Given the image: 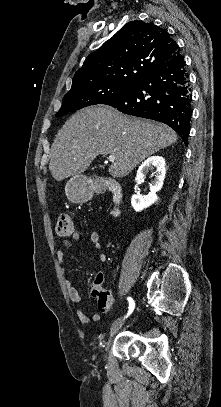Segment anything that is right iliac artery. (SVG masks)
<instances>
[{
	"instance_id": "right-iliac-artery-1",
	"label": "right iliac artery",
	"mask_w": 221,
	"mask_h": 407,
	"mask_svg": "<svg viewBox=\"0 0 221 407\" xmlns=\"http://www.w3.org/2000/svg\"><path fill=\"white\" fill-rule=\"evenodd\" d=\"M127 299H128V302H129V311H128L127 316H129V314L134 310L135 303H134V301H133V299L131 297H128Z\"/></svg>"
}]
</instances>
